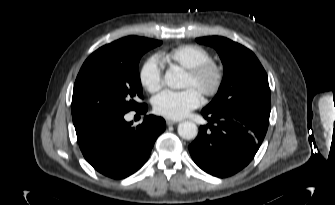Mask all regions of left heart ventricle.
<instances>
[{"label": "left heart ventricle", "mask_w": 335, "mask_h": 205, "mask_svg": "<svg viewBox=\"0 0 335 205\" xmlns=\"http://www.w3.org/2000/svg\"><path fill=\"white\" fill-rule=\"evenodd\" d=\"M209 81H210V79H207L206 82H209ZM184 87H186V88H188V87H193V88H195V89L198 90L197 85L194 83V81H193V80L191 79V77L188 76V75H186V77H185Z\"/></svg>", "instance_id": "left-heart-ventricle-1"}]
</instances>
